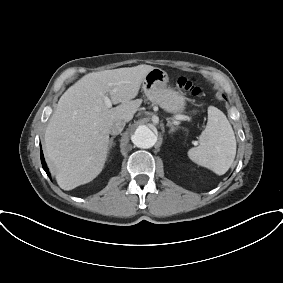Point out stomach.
<instances>
[{
	"instance_id": "obj_1",
	"label": "stomach",
	"mask_w": 283,
	"mask_h": 283,
	"mask_svg": "<svg viewBox=\"0 0 283 283\" xmlns=\"http://www.w3.org/2000/svg\"><path fill=\"white\" fill-rule=\"evenodd\" d=\"M168 74L154 67L143 79L142 89L146 97L168 113L179 114L184 111V95L167 85Z\"/></svg>"
}]
</instances>
